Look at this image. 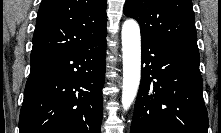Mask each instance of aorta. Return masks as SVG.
I'll return each instance as SVG.
<instances>
[{"mask_svg":"<svg viewBox=\"0 0 221 133\" xmlns=\"http://www.w3.org/2000/svg\"><path fill=\"white\" fill-rule=\"evenodd\" d=\"M123 85L121 103L127 111L133 103L141 78V35L138 23L129 19L122 26Z\"/></svg>","mask_w":221,"mask_h":133,"instance_id":"obj_1","label":"aorta"}]
</instances>
